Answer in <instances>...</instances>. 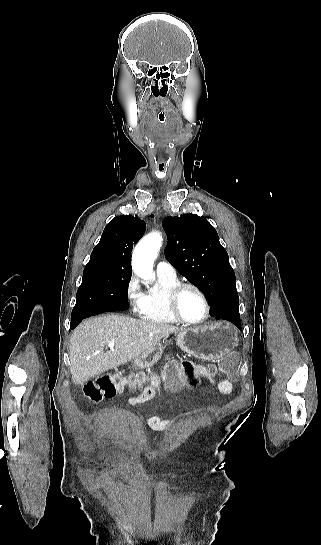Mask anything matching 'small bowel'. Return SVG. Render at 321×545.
<instances>
[{
	"label": "small bowel",
	"mask_w": 321,
	"mask_h": 545,
	"mask_svg": "<svg viewBox=\"0 0 321 545\" xmlns=\"http://www.w3.org/2000/svg\"><path fill=\"white\" fill-rule=\"evenodd\" d=\"M155 384H156V379H153L152 385L149 387H146L141 395L130 398L129 403L131 405H137L152 399L155 395V389H154ZM218 388L221 393L229 394L232 391V384L230 381L221 380L218 384ZM147 423L154 429H165L170 426L169 422L162 421L156 416H149L147 418Z\"/></svg>",
	"instance_id": "c3829d8e"
}]
</instances>
